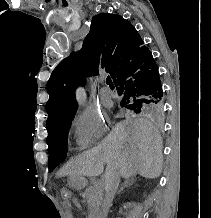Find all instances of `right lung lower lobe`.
Here are the masks:
<instances>
[{"label": "right lung lower lobe", "instance_id": "98d812e1", "mask_svg": "<svg viewBox=\"0 0 211 218\" xmlns=\"http://www.w3.org/2000/svg\"><path fill=\"white\" fill-rule=\"evenodd\" d=\"M114 84L123 98L163 99L158 68L149 49L122 69Z\"/></svg>", "mask_w": 211, "mask_h": 218}]
</instances>
